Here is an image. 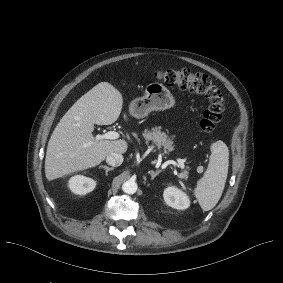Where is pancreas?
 <instances>
[{"label":"pancreas","mask_w":283,"mask_h":283,"mask_svg":"<svg viewBox=\"0 0 283 283\" xmlns=\"http://www.w3.org/2000/svg\"><path fill=\"white\" fill-rule=\"evenodd\" d=\"M143 137L145 139L146 144H149V142L152 141L153 144L158 148L163 147L165 153L174 150L172 139L169 138L165 132H161V130L157 127L152 128L151 131L145 129ZM182 174L184 178L188 177L187 171H184Z\"/></svg>","instance_id":"pancreas-1"}]
</instances>
